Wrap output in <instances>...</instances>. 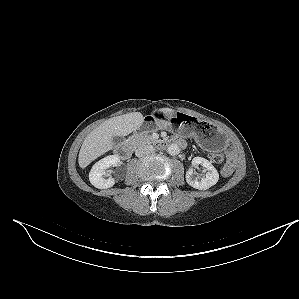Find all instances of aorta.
<instances>
[{
  "instance_id": "aorta-1",
  "label": "aorta",
  "mask_w": 299,
  "mask_h": 299,
  "mask_svg": "<svg viewBox=\"0 0 299 299\" xmlns=\"http://www.w3.org/2000/svg\"><path fill=\"white\" fill-rule=\"evenodd\" d=\"M167 151L170 155L175 156L180 153V148L177 144H171L168 146Z\"/></svg>"
}]
</instances>
